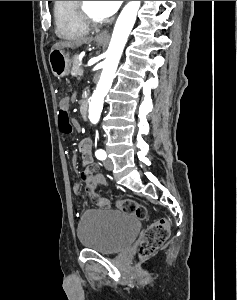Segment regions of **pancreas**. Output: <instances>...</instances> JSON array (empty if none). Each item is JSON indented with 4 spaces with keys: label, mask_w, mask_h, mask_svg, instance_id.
Returning <instances> with one entry per match:
<instances>
[{
    "label": "pancreas",
    "mask_w": 237,
    "mask_h": 300,
    "mask_svg": "<svg viewBox=\"0 0 237 300\" xmlns=\"http://www.w3.org/2000/svg\"><path fill=\"white\" fill-rule=\"evenodd\" d=\"M80 67L79 57H75L72 65V73H74V77H78L79 71L77 70Z\"/></svg>",
    "instance_id": "obj_1"
}]
</instances>
